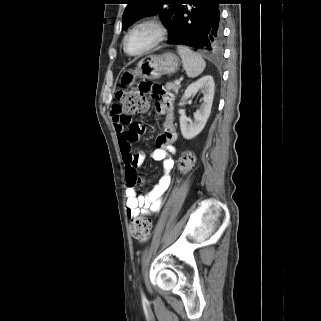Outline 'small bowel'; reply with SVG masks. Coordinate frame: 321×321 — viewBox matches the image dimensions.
<instances>
[{
	"instance_id": "small-bowel-1",
	"label": "small bowel",
	"mask_w": 321,
	"mask_h": 321,
	"mask_svg": "<svg viewBox=\"0 0 321 321\" xmlns=\"http://www.w3.org/2000/svg\"><path fill=\"white\" fill-rule=\"evenodd\" d=\"M162 82L137 83V90H147V96L155 97V109L164 116L163 132L156 139V148L151 157L162 162V174L156 184L144 195H139L134 187L126 190V212L129 219L140 215H150L159 211L162 198L171 183L174 160L171 153L175 152L174 143L177 139L175 128V110L173 95L162 89ZM112 121L117 135L118 144L125 164L126 178L143 164L145 154L135 151L132 144L145 132L142 123L134 122L130 116L124 115L117 106L112 109Z\"/></svg>"
}]
</instances>
